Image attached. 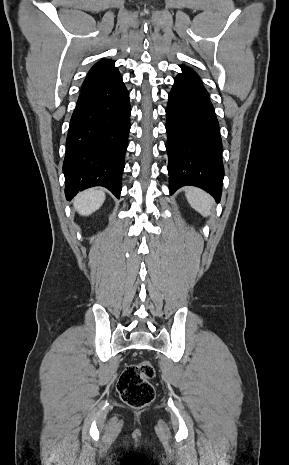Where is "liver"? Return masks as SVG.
Listing matches in <instances>:
<instances>
[{"label":"liver","instance_id":"6515ba94","mask_svg":"<svg viewBox=\"0 0 289 465\" xmlns=\"http://www.w3.org/2000/svg\"><path fill=\"white\" fill-rule=\"evenodd\" d=\"M105 200L104 191L101 189H88L79 193L73 203L79 214L88 216L98 210Z\"/></svg>","mask_w":289,"mask_h":465}]
</instances>
